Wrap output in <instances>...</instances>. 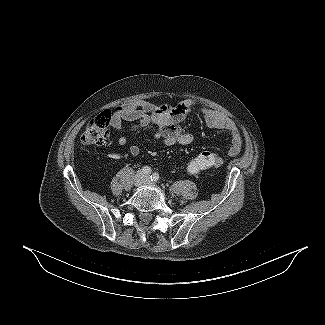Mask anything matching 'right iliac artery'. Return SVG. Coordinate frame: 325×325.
I'll use <instances>...</instances> for the list:
<instances>
[{
    "label": "right iliac artery",
    "instance_id": "1",
    "mask_svg": "<svg viewBox=\"0 0 325 325\" xmlns=\"http://www.w3.org/2000/svg\"><path fill=\"white\" fill-rule=\"evenodd\" d=\"M142 171H143V173H145V174H151V171H152V170H151L150 167L145 166V167H143Z\"/></svg>",
    "mask_w": 325,
    "mask_h": 325
}]
</instances>
